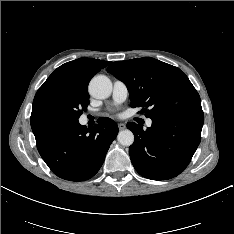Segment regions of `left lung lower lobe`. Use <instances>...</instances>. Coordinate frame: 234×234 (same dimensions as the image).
Wrapping results in <instances>:
<instances>
[{"instance_id": "left-lung-lower-lobe-1", "label": "left lung lower lobe", "mask_w": 234, "mask_h": 234, "mask_svg": "<svg viewBox=\"0 0 234 234\" xmlns=\"http://www.w3.org/2000/svg\"><path fill=\"white\" fill-rule=\"evenodd\" d=\"M203 122L202 109L152 119V126L147 130L129 122L127 128L135 136L129 155L136 171L153 180L179 175L191 161L201 141Z\"/></svg>"}]
</instances>
